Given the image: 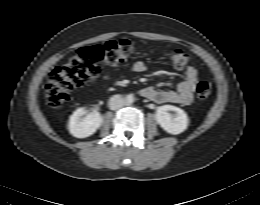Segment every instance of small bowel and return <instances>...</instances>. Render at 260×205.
<instances>
[{"instance_id": "small-bowel-1", "label": "small bowel", "mask_w": 260, "mask_h": 205, "mask_svg": "<svg viewBox=\"0 0 260 205\" xmlns=\"http://www.w3.org/2000/svg\"><path fill=\"white\" fill-rule=\"evenodd\" d=\"M132 68L135 72H143L146 70V65L143 61H137ZM184 75V80L177 84L175 90H160L148 86L140 90V95L156 103L190 105L194 98L193 94L199 82V77L197 70L192 66H187L184 69ZM110 76V72L107 71L104 74V79L107 81Z\"/></svg>"}]
</instances>
